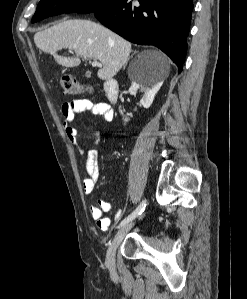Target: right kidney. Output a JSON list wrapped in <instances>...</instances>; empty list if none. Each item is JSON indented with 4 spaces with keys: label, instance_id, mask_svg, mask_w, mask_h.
<instances>
[{
    "label": "right kidney",
    "instance_id": "right-kidney-1",
    "mask_svg": "<svg viewBox=\"0 0 247 299\" xmlns=\"http://www.w3.org/2000/svg\"><path fill=\"white\" fill-rule=\"evenodd\" d=\"M162 85V82L153 84L151 86L146 84H141L137 81H133L131 87L129 88V93L132 95H136L137 91L140 90L144 93L142 99L140 100V104L144 108H149L154 100V97L156 93L159 91L160 87ZM120 113L123 114L122 110H120ZM125 122L128 121L127 118L124 119Z\"/></svg>",
    "mask_w": 247,
    "mask_h": 299
}]
</instances>
